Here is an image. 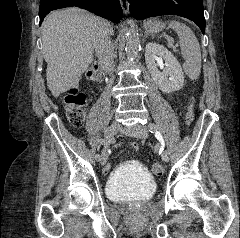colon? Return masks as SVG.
<instances>
[{"instance_id":"colon-1","label":"colon","mask_w":240,"mask_h":238,"mask_svg":"<svg viewBox=\"0 0 240 238\" xmlns=\"http://www.w3.org/2000/svg\"><path fill=\"white\" fill-rule=\"evenodd\" d=\"M88 78L94 82H98L101 79V70L98 67L91 68L88 71ZM86 92L78 87L70 89L65 97L66 116L69 123L79 128L83 125L86 116ZM194 116V104L190 102L188 112L186 115L187 122H191ZM152 171L155 175H161L164 171V167L160 163H155L152 166Z\"/></svg>"}]
</instances>
